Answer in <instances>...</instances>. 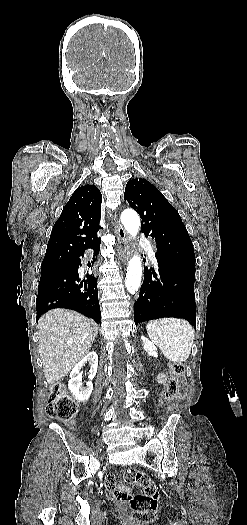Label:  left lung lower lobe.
Listing matches in <instances>:
<instances>
[{
  "label": "left lung lower lobe",
  "mask_w": 247,
  "mask_h": 525,
  "mask_svg": "<svg viewBox=\"0 0 247 525\" xmlns=\"http://www.w3.org/2000/svg\"><path fill=\"white\" fill-rule=\"evenodd\" d=\"M159 269L146 268L140 295L134 304V321H143L163 317L187 319L196 326V308L194 294L195 271L176 264L173 259L160 258L155 254ZM152 275L157 281H152Z\"/></svg>",
  "instance_id": "1"
}]
</instances>
